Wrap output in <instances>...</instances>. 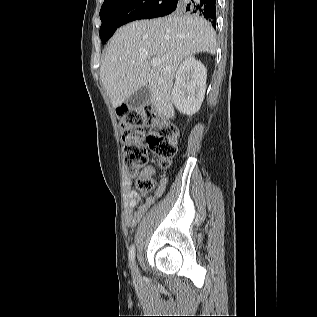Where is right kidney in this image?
<instances>
[{
	"label": "right kidney",
	"mask_w": 317,
	"mask_h": 317,
	"mask_svg": "<svg viewBox=\"0 0 317 317\" xmlns=\"http://www.w3.org/2000/svg\"><path fill=\"white\" fill-rule=\"evenodd\" d=\"M206 68L193 56L187 57L175 75L172 100L178 111L192 115L203 102L206 90Z\"/></svg>",
	"instance_id": "ca27d5eb"
}]
</instances>
